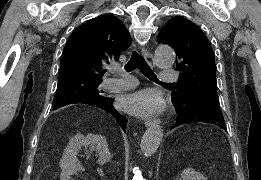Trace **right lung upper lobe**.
Wrapping results in <instances>:
<instances>
[{
    "instance_id": "obj_1",
    "label": "right lung upper lobe",
    "mask_w": 261,
    "mask_h": 180,
    "mask_svg": "<svg viewBox=\"0 0 261 180\" xmlns=\"http://www.w3.org/2000/svg\"><path fill=\"white\" fill-rule=\"evenodd\" d=\"M131 41L126 27L113 15H101L81 24L64 47L58 82L102 80V66L118 60Z\"/></svg>"
}]
</instances>
